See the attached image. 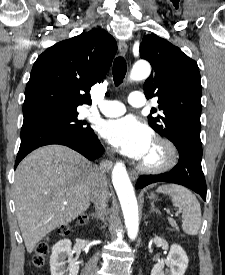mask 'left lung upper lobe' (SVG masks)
I'll use <instances>...</instances> for the list:
<instances>
[{
	"label": "left lung upper lobe",
	"instance_id": "left-lung-upper-lobe-1",
	"mask_svg": "<svg viewBox=\"0 0 225 275\" xmlns=\"http://www.w3.org/2000/svg\"><path fill=\"white\" fill-rule=\"evenodd\" d=\"M140 57L152 65L144 83L147 98L157 96L161 115L148 116L149 125L175 145L199 142L201 81L197 63L181 49L155 34L140 44ZM156 109L151 110V114Z\"/></svg>",
	"mask_w": 225,
	"mask_h": 275
}]
</instances>
